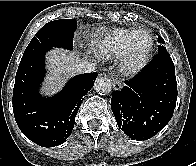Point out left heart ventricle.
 I'll return each mask as SVG.
<instances>
[{
  "mask_svg": "<svg viewBox=\"0 0 196 166\" xmlns=\"http://www.w3.org/2000/svg\"><path fill=\"white\" fill-rule=\"evenodd\" d=\"M149 45V38L145 32L136 33L131 42L130 47L135 59H140L146 52Z\"/></svg>",
  "mask_w": 196,
  "mask_h": 166,
  "instance_id": "obj_1",
  "label": "left heart ventricle"
}]
</instances>
